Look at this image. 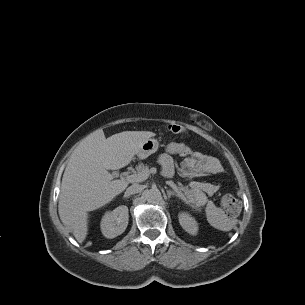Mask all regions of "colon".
<instances>
[{
    "label": "colon",
    "mask_w": 305,
    "mask_h": 305,
    "mask_svg": "<svg viewBox=\"0 0 305 305\" xmlns=\"http://www.w3.org/2000/svg\"><path fill=\"white\" fill-rule=\"evenodd\" d=\"M168 130L177 135L185 134V129L182 126L172 124L168 126ZM221 206L227 215L234 217L240 211V203L233 195L226 194L221 199Z\"/></svg>",
    "instance_id": "5ec220e1"
}]
</instances>
